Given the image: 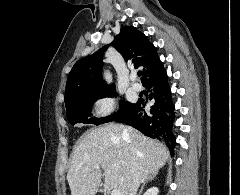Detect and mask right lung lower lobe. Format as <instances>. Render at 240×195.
Returning <instances> with one entry per match:
<instances>
[{"mask_svg":"<svg viewBox=\"0 0 240 195\" xmlns=\"http://www.w3.org/2000/svg\"><path fill=\"white\" fill-rule=\"evenodd\" d=\"M144 87L150 92V110H144L148 99L139 100L131 110L113 121L127 123L148 137L165 141L170 151L173 152L176 142L171 128L175 113L165 70Z\"/></svg>","mask_w":240,"mask_h":195,"instance_id":"right-lung-lower-lobe-1","label":"right lung lower lobe"}]
</instances>
